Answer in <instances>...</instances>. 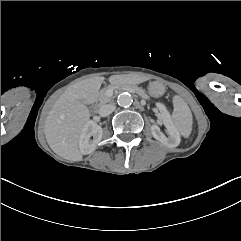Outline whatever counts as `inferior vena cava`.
I'll use <instances>...</instances> for the list:
<instances>
[{
  "label": "inferior vena cava",
  "instance_id": "602c4592",
  "mask_svg": "<svg viewBox=\"0 0 241 241\" xmlns=\"http://www.w3.org/2000/svg\"><path fill=\"white\" fill-rule=\"evenodd\" d=\"M115 109H116L115 105L105 104V105L100 107L99 114L102 117H106V116L110 115L112 112H114Z\"/></svg>",
  "mask_w": 241,
  "mask_h": 241
}]
</instances>
